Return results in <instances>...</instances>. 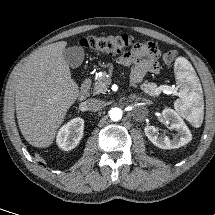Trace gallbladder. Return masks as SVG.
<instances>
[{"mask_svg": "<svg viewBox=\"0 0 215 215\" xmlns=\"http://www.w3.org/2000/svg\"><path fill=\"white\" fill-rule=\"evenodd\" d=\"M84 55V49L81 46L68 47L63 51L65 61L72 68H77L82 64Z\"/></svg>", "mask_w": 215, "mask_h": 215, "instance_id": "1", "label": "gallbladder"}]
</instances>
